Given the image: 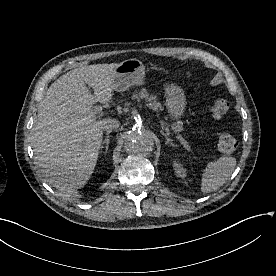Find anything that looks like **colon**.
<instances>
[{
	"mask_svg": "<svg viewBox=\"0 0 276 276\" xmlns=\"http://www.w3.org/2000/svg\"><path fill=\"white\" fill-rule=\"evenodd\" d=\"M210 114L214 119L224 118L229 111V102L222 96H216L209 108ZM238 146L237 139L228 132H220L217 138V147L222 154H231Z\"/></svg>",
	"mask_w": 276,
	"mask_h": 276,
	"instance_id": "obj_1",
	"label": "colon"
}]
</instances>
